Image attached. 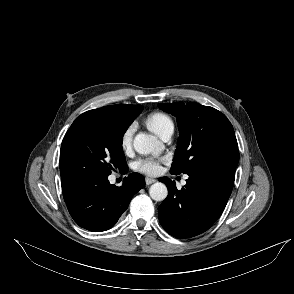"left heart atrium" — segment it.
I'll list each match as a JSON object with an SVG mask.
<instances>
[{
    "label": "left heart atrium",
    "instance_id": "obj_1",
    "mask_svg": "<svg viewBox=\"0 0 294 294\" xmlns=\"http://www.w3.org/2000/svg\"><path fill=\"white\" fill-rule=\"evenodd\" d=\"M161 159L156 157L139 158L133 163L134 170L147 174L157 175L160 172Z\"/></svg>",
    "mask_w": 294,
    "mask_h": 294
}]
</instances>
